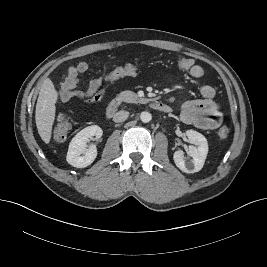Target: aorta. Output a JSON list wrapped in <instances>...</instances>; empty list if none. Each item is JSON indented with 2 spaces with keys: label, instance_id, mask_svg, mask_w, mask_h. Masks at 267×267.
<instances>
[{
  "label": "aorta",
  "instance_id": "762f6f07",
  "mask_svg": "<svg viewBox=\"0 0 267 267\" xmlns=\"http://www.w3.org/2000/svg\"><path fill=\"white\" fill-rule=\"evenodd\" d=\"M140 119L143 123H148L151 121L152 115L149 112L144 111V112H141Z\"/></svg>",
  "mask_w": 267,
  "mask_h": 267
}]
</instances>
